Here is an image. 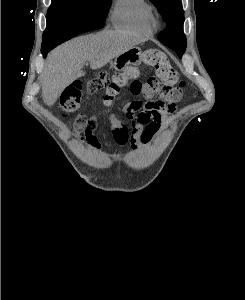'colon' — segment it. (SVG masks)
Instances as JSON below:
<instances>
[{
    "label": "colon",
    "instance_id": "colon-1",
    "mask_svg": "<svg viewBox=\"0 0 245 300\" xmlns=\"http://www.w3.org/2000/svg\"><path fill=\"white\" fill-rule=\"evenodd\" d=\"M144 61L156 72V76L149 79L146 83L151 91L164 97L168 102L174 103L178 101L182 95L184 81L171 65L167 56L162 51L152 49L145 52ZM138 74L139 70L134 66L112 75L106 71H100L88 81V91L94 92L104 89L106 93L103 103L106 107H109L122 89L128 88L131 92H136L139 89ZM82 92L83 85L79 81L73 82L63 91L59 103L66 114L78 109ZM139 105V101L133 102L135 108H138Z\"/></svg>",
    "mask_w": 245,
    "mask_h": 300
}]
</instances>
